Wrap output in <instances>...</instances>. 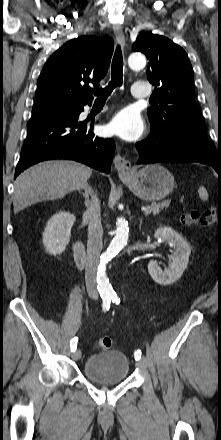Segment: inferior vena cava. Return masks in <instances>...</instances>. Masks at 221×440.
Wrapping results in <instances>:
<instances>
[{"label": "inferior vena cava", "instance_id": "602c4592", "mask_svg": "<svg viewBox=\"0 0 221 440\" xmlns=\"http://www.w3.org/2000/svg\"><path fill=\"white\" fill-rule=\"evenodd\" d=\"M87 207L86 216L89 219V225L85 281L87 289L96 294V277L99 266V257L103 248V228L100 218V201L96 194H92V199L89 201V205Z\"/></svg>", "mask_w": 221, "mask_h": 440}]
</instances>
